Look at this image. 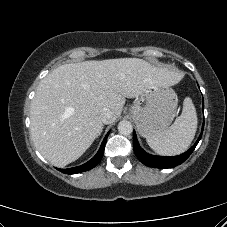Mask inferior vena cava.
I'll use <instances>...</instances> for the list:
<instances>
[{"mask_svg": "<svg viewBox=\"0 0 227 227\" xmlns=\"http://www.w3.org/2000/svg\"><path fill=\"white\" fill-rule=\"evenodd\" d=\"M113 116V113L111 110L104 108L101 112V120L103 123L108 124Z\"/></svg>", "mask_w": 227, "mask_h": 227, "instance_id": "602c4592", "label": "inferior vena cava"}]
</instances>
